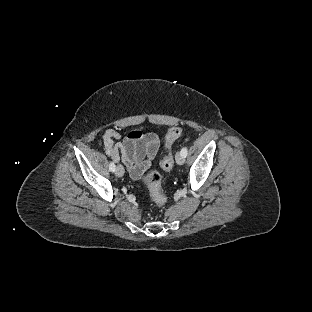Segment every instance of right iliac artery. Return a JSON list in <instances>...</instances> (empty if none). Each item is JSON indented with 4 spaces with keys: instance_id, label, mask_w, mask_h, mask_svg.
<instances>
[{
    "instance_id": "82829eb1",
    "label": "right iliac artery",
    "mask_w": 312,
    "mask_h": 312,
    "mask_svg": "<svg viewBox=\"0 0 312 312\" xmlns=\"http://www.w3.org/2000/svg\"><path fill=\"white\" fill-rule=\"evenodd\" d=\"M109 169H110V171H112V172H114V171H115L116 166H115V164H114L113 162H111V163H110V165H109Z\"/></svg>"
}]
</instances>
